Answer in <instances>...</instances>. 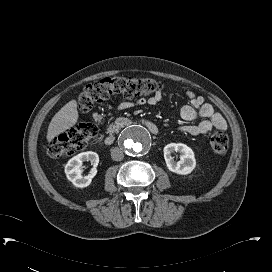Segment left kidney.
<instances>
[{
	"label": "left kidney",
	"mask_w": 272,
	"mask_h": 272,
	"mask_svg": "<svg viewBox=\"0 0 272 272\" xmlns=\"http://www.w3.org/2000/svg\"><path fill=\"white\" fill-rule=\"evenodd\" d=\"M164 159L167 168L176 174L187 175L190 174L196 167V160L193 150L182 143H170L163 149ZM180 152V161L175 162L172 153Z\"/></svg>",
	"instance_id": "1"
}]
</instances>
